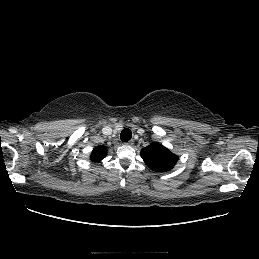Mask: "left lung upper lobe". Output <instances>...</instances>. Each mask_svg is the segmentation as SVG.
<instances>
[{"instance_id":"5c2ea615","label":"left lung upper lobe","mask_w":259,"mask_h":259,"mask_svg":"<svg viewBox=\"0 0 259 259\" xmlns=\"http://www.w3.org/2000/svg\"><path fill=\"white\" fill-rule=\"evenodd\" d=\"M145 164L154 171L171 170L178 161V156L159 143H152L141 150Z\"/></svg>"}]
</instances>
